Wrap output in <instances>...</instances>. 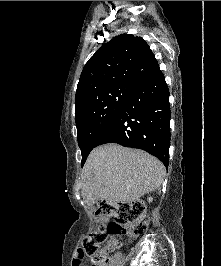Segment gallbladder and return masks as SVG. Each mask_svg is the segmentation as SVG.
Returning <instances> with one entry per match:
<instances>
[{"label": "gallbladder", "instance_id": "bac80fb5", "mask_svg": "<svg viewBox=\"0 0 221 266\" xmlns=\"http://www.w3.org/2000/svg\"><path fill=\"white\" fill-rule=\"evenodd\" d=\"M99 200H100V197L95 193H92L86 198V202L90 205L97 203Z\"/></svg>", "mask_w": 221, "mask_h": 266}]
</instances>
